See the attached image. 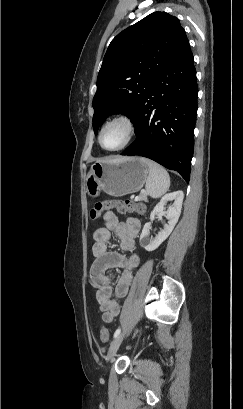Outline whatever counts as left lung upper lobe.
<instances>
[{
  "mask_svg": "<svg viewBox=\"0 0 243 409\" xmlns=\"http://www.w3.org/2000/svg\"><path fill=\"white\" fill-rule=\"evenodd\" d=\"M186 39L176 17L154 12L111 41L93 98L95 134L112 114L127 115L134 122L154 79Z\"/></svg>",
  "mask_w": 243,
  "mask_h": 409,
  "instance_id": "obj_1",
  "label": "left lung upper lobe"
}]
</instances>
